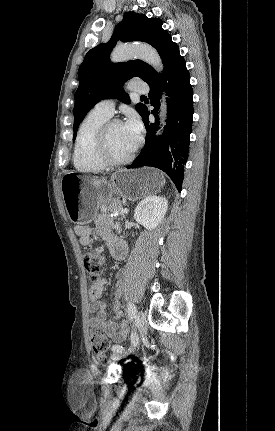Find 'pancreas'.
<instances>
[{"instance_id":"1","label":"pancreas","mask_w":275,"mask_h":431,"mask_svg":"<svg viewBox=\"0 0 275 431\" xmlns=\"http://www.w3.org/2000/svg\"><path fill=\"white\" fill-rule=\"evenodd\" d=\"M99 208L103 214H109V212H112V213L118 212V217H121V219L125 217V214L121 213V209L123 208V205L118 199H112V200L102 199L99 201Z\"/></svg>"}]
</instances>
